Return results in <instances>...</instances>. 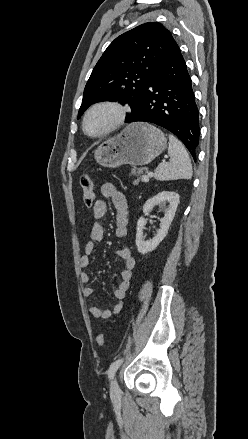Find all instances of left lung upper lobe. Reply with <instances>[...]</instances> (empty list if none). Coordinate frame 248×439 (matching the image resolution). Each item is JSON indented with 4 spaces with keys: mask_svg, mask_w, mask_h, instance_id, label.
Here are the masks:
<instances>
[{
    "mask_svg": "<svg viewBox=\"0 0 248 439\" xmlns=\"http://www.w3.org/2000/svg\"><path fill=\"white\" fill-rule=\"evenodd\" d=\"M176 45L170 31L158 22L144 23L117 37L91 73L78 118L91 104L110 100L129 104L127 120Z\"/></svg>",
    "mask_w": 248,
    "mask_h": 439,
    "instance_id": "obj_1",
    "label": "left lung upper lobe"
}]
</instances>
